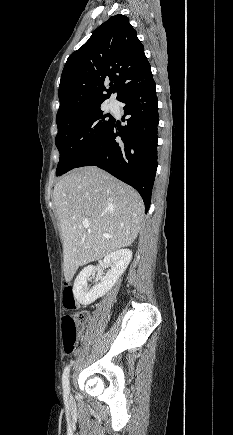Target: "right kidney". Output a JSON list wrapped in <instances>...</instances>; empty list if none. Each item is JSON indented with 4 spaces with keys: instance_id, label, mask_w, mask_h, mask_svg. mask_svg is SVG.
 Masks as SVG:
<instances>
[{
    "instance_id": "1",
    "label": "right kidney",
    "mask_w": 233,
    "mask_h": 435,
    "mask_svg": "<svg viewBox=\"0 0 233 435\" xmlns=\"http://www.w3.org/2000/svg\"><path fill=\"white\" fill-rule=\"evenodd\" d=\"M132 259V251L129 249H120L107 255L103 264L110 267L99 284L91 289L87 287V280L95 273V266L85 267L76 277L73 286V294L76 300L82 305H89L96 299L105 295L117 282L119 277L124 273Z\"/></svg>"
}]
</instances>
